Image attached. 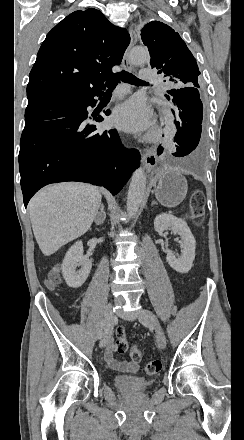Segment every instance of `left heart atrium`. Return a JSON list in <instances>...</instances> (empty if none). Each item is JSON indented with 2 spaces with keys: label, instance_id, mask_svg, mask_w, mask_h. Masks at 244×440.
Masks as SVG:
<instances>
[{
  "label": "left heart atrium",
  "instance_id": "left-heart-atrium-1",
  "mask_svg": "<svg viewBox=\"0 0 244 440\" xmlns=\"http://www.w3.org/2000/svg\"><path fill=\"white\" fill-rule=\"evenodd\" d=\"M112 121L125 131L137 132L153 125L154 113L143 98L132 97L116 106L112 114Z\"/></svg>",
  "mask_w": 244,
  "mask_h": 440
}]
</instances>
